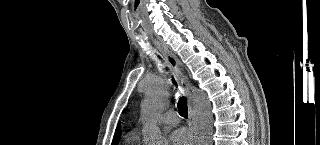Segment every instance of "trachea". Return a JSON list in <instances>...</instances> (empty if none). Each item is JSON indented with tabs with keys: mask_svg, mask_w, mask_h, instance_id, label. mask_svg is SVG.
<instances>
[{
	"mask_svg": "<svg viewBox=\"0 0 320 145\" xmlns=\"http://www.w3.org/2000/svg\"><path fill=\"white\" fill-rule=\"evenodd\" d=\"M173 84L177 86L176 81L173 79ZM177 107L179 110V114L184 117L187 118L188 116V108H187V104H186V99L183 96L179 97L178 103H177Z\"/></svg>",
	"mask_w": 320,
	"mask_h": 145,
	"instance_id": "1",
	"label": "trachea"
}]
</instances>
